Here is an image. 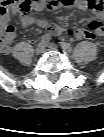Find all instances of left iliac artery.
I'll return each mask as SVG.
<instances>
[{
	"instance_id": "left-iliac-artery-1",
	"label": "left iliac artery",
	"mask_w": 104,
	"mask_h": 137,
	"mask_svg": "<svg viewBox=\"0 0 104 137\" xmlns=\"http://www.w3.org/2000/svg\"><path fill=\"white\" fill-rule=\"evenodd\" d=\"M62 46H63V48H64L65 50H67V49L70 48V44L65 43V42L62 44Z\"/></svg>"
}]
</instances>
